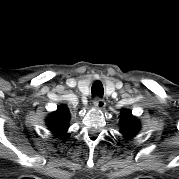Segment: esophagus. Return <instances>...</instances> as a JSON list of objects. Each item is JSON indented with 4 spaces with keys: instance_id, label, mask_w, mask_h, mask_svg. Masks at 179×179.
I'll return each mask as SVG.
<instances>
[{
    "instance_id": "1",
    "label": "esophagus",
    "mask_w": 179,
    "mask_h": 179,
    "mask_svg": "<svg viewBox=\"0 0 179 179\" xmlns=\"http://www.w3.org/2000/svg\"><path fill=\"white\" fill-rule=\"evenodd\" d=\"M93 104L98 109H103L106 105L105 101L99 97L95 98V100L93 101Z\"/></svg>"
}]
</instances>
